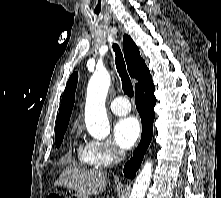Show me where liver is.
I'll return each instance as SVG.
<instances>
[{
	"label": "liver",
	"instance_id": "obj_1",
	"mask_svg": "<svg viewBox=\"0 0 221 198\" xmlns=\"http://www.w3.org/2000/svg\"><path fill=\"white\" fill-rule=\"evenodd\" d=\"M108 178L106 172L98 170L65 169L56 185L65 186L87 195H99L107 186Z\"/></svg>",
	"mask_w": 221,
	"mask_h": 198
}]
</instances>
